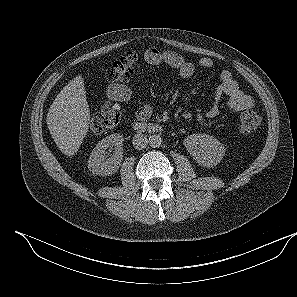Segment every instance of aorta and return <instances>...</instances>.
Listing matches in <instances>:
<instances>
[{
	"mask_svg": "<svg viewBox=\"0 0 297 297\" xmlns=\"http://www.w3.org/2000/svg\"><path fill=\"white\" fill-rule=\"evenodd\" d=\"M148 143L151 147H160L162 138L159 134H152L149 136Z\"/></svg>",
	"mask_w": 297,
	"mask_h": 297,
	"instance_id": "1",
	"label": "aorta"
}]
</instances>
